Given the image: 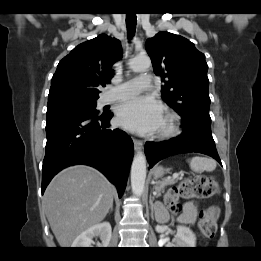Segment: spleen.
Wrapping results in <instances>:
<instances>
[{"mask_svg":"<svg viewBox=\"0 0 261 261\" xmlns=\"http://www.w3.org/2000/svg\"><path fill=\"white\" fill-rule=\"evenodd\" d=\"M190 168L195 172H211L216 168V162L212 158L195 156L189 160Z\"/></svg>","mask_w":261,"mask_h":261,"instance_id":"1","label":"spleen"}]
</instances>
